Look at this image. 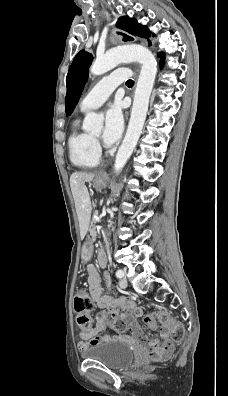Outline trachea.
Returning a JSON list of instances; mask_svg holds the SVG:
<instances>
[{
  "instance_id": "trachea-1",
  "label": "trachea",
  "mask_w": 228,
  "mask_h": 396,
  "mask_svg": "<svg viewBox=\"0 0 228 396\" xmlns=\"http://www.w3.org/2000/svg\"><path fill=\"white\" fill-rule=\"evenodd\" d=\"M133 84H134V81H133V80H130V79H129V80L126 81V85H127V86L133 85Z\"/></svg>"
}]
</instances>
